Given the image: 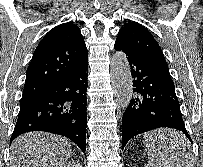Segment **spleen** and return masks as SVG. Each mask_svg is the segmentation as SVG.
<instances>
[{
  "mask_svg": "<svg viewBox=\"0 0 203 167\" xmlns=\"http://www.w3.org/2000/svg\"><path fill=\"white\" fill-rule=\"evenodd\" d=\"M179 145L187 146V152L179 151V148H176ZM145 147L148 153L147 167H192L193 156L189 150V142L178 132L160 146H156L145 136Z\"/></svg>",
  "mask_w": 203,
  "mask_h": 167,
  "instance_id": "3e777b00",
  "label": "spleen"
}]
</instances>
